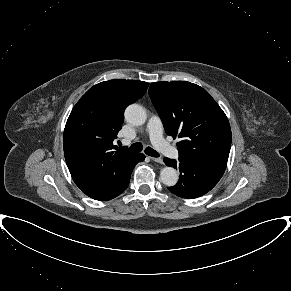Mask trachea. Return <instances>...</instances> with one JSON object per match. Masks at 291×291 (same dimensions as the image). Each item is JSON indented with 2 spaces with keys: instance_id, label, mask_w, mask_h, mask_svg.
<instances>
[{
  "instance_id": "3493384b",
  "label": "trachea",
  "mask_w": 291,
  "mask_h": 291,
  "mask_svg": "<svg viewBox=\"0 0 291 291\" xmlns=\"http://www.w3.org/2000/svg\"><path fill=\"white\" fill-rule=\"evenodd\" d=\"M129 149L132 151L140 152V151H142L143 146L141 143H134L129 147ZM145 153L149 156H152V157H159V153L150 147L145 148Z\"/></svg>"
}]
</instances>
